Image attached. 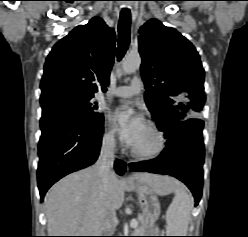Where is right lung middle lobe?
<instances>
[{
    "instance_id": "1",
    "label": "right lung middle lobe",
    "mask_w": 248,
    "mask_h": 237,
    "mask_svg": "<svg viewBox=\"0 0 248 237\" xmlns=\"http://www.w3.org/2000/svg\"><path fill=\"white\" fill-rule=\"evenodd\" d=\"M91 99L62 96L49 100L41 103L42 116H63L84 122L102 120L103 115L96 111L98 107Z\"/></svg>"
}]
</instances>
